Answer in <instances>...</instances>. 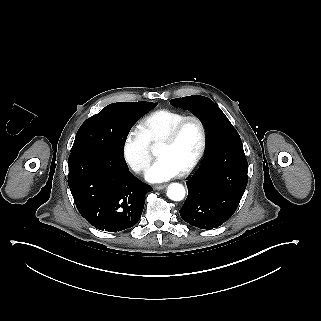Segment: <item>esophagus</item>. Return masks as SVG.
<instances>
[{
  "label": "esophagus",
  "instance_id": "obj_1",
  "mask_svg": "<svg viewBox=\"0 0 321 321\" xmlns=\"http://www.w3.org/2000/svg\"><path fill=\"white\" fill-rule=\"evenodd\" d=\"M166 187V185H157L154 187L155 190H161L164 189Z\"/></svg>",
  "mask_w": 321,
  "mask_h": 321
}]
</instances>
